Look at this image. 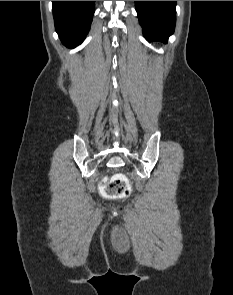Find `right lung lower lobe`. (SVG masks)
<instances>
[{
    "instance_id": "right-lung-lower-lobe-1",
    "label": "right lung lower lobe",
    "mask_w": 233,
    "mask_h": 295,
    "mask_svg": "<svg viewBox=\"0 0 233 295\" xmlns=\"http://www.w3.org/2000/svg\"><path fill=\"white\" fill-rule=\"evenodd\" d=\"M95 1H52L55 29L64 45L74 48L87 35Z\"/></svg>"
}]
</instances>
